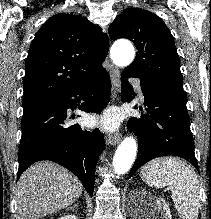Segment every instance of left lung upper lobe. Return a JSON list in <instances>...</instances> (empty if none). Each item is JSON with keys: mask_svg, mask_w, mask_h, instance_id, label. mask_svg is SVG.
<instances>
[{"mask_svg": "<svg viewBox=\"0 0 211 219\" xmlns=\"http://www.w3.org/2000/svg\"><path fill=\"white\" fill-rule=\"evenodd\" d=\"M112 40L127 38L137 54L124 70L143 80L183 83L180 61L171 32L154 13L141 9H124L109 26Z\"/></svg>", "mask_w": 211, "mask_h": 219, "instance_id": "5c2ea615", "label": "left lung upper lobe"}]
</instances>
